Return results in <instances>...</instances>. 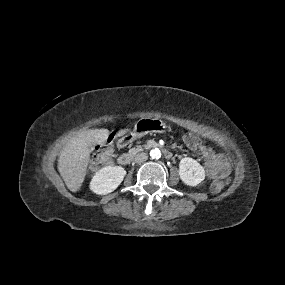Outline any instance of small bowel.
I'll list each match as a JSON object with an SVG mask.
<instances>
[{
	"label": "small bowel",
	"mask_w": 285,
	"mask_h": 285,
	"mask_svg": "<svg viewBox=\"0 0 285 285\" xmlns=\"http://www.w3.org/2000/svg\"><path fill=\"white\" fill-rule=\"evenodd\" d=\"M199 150L205 162L207 175L210 178H216L228 174L229 164L223 156L205 145H203Z\"/></svg>",
	"instance_id": "c3829d8e"
}]
</instances>
